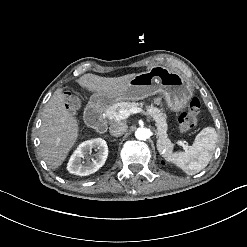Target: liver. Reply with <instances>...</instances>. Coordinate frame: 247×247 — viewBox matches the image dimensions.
<instances>
[{
	"mask_svg": "<svg viewBox=\"0 0 247 247\" xmlns=\"http://www.w3.org/2000/svg\"><path fill=\"white\" fill-rule=\"evenodd\" d=\"M134 76L129 74L117 78H104L84 74L77 82L90 90H120ZM39 135L43 159L49 168H57L77 136V123L65 108L60 89L54 92L44 108Z\"/></svg>",
	"mask_w": 247,
	"mask_h": 247,
	"instance_id": "liver-1",
	"label": "liver"
}]
</instances>
